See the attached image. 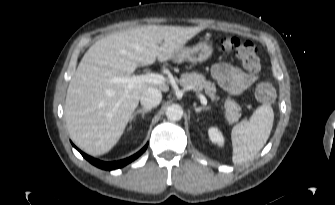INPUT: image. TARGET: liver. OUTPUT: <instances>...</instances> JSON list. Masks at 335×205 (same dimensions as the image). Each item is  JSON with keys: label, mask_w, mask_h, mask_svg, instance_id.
I'll return each instance as SVG.
<instances>
[{"label": "liver", "mask_w": 335, "mask_h": 205, "mask_svg": "<svg viewBox=\"0 0 335 205\" xmlns=\"http://www.w3.org/2000/svg\"><path fill=\"white\" fill-rule=\"evenodd\" d=\"M203 27L148 25L110 34L95 42L81 59L66 94L64 114L68 132L84 152L107 153L118 142L150 87L162 91L168 85L139 83L128 87L117 77H130L139 66L177 60L179 51Z\"/></svg>", "instance_id": "1"}]
</instances>
